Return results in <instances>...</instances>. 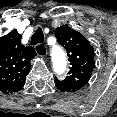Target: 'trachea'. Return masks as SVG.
Returning a JSON list of instances; mask_svg holds the SVG:
<instances>
[{"label":"trachea","instance_id":"trachea-1","mask_svg":"<svg viewBox=\"0 0 117 117\" xmlns=\"http://www.w3.org/2000/svg\"><path fill=\"white\" fill-rule=\"evenodd\" d=\"M43 41H44V34L42 32V29L38 28L31 37V44L32 45L41 44L43 43ZM40 48L41 46H37L36 47L37 51H39Z\"/></svg>","mask_w":117,"mask_h":117}]
</instances>
